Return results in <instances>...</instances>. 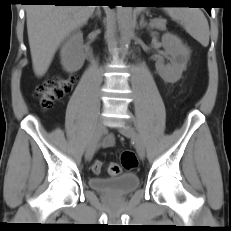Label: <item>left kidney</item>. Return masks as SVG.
I'll return each mask as SVG.
<instances>
[{
	"instance_id": "1",
	"label": "left kidney",
	"mask_w": 231,
	"mask_h": 231,
	"mask_svg": "<svg viewBox=\"0 0 231 231\" xmlns=\"http://www.w3.org/2000/svg\"><path fill=\"white\" fill-rule=\"evenodd\" d=\"M162 45L165 57L170 60V63L164 64V58L161 57L156 61V70L165 82L176 83L186 70L190 49L182 43L179 37L171 33L162 36Z\"/></svg>"
}]
</instances>
